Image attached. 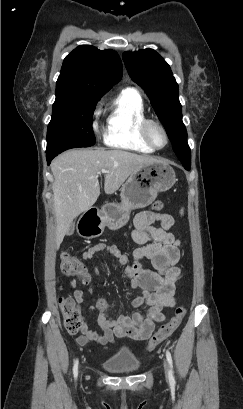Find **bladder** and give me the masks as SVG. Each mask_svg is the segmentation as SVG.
<instances>
[{"mask_svg":"<svg viewBox=\"0 0 243 409\" xmlns=\"http://www.w3.org/2000/svg\"><path fill=\"white\" fill-rule=\"evenodd\" d=\"M104 368L113 374H129L137 372L140 364L133 359L111 360L104 364Z\"/></svg>","mask_w":243,"mask_h":409,"instance_id":"1","label":"bladder"}]
</instances>
